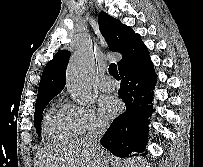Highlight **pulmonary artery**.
Returning a JSON list of instances; mask_svg holds the SVG:
<instances>
[{"label":"pulmonary artery","instance_id":"e3ab8cb5","mask_svg":"<svg viewBox=\"0 0 203 167\" xmlns=\"http://www.w3.org/2000/svg\"><path fill=\"white\" fill-rule=\"evenodd\" d=\"M98 86L103 91H111L116 88V82L110 76H105L99 80Z\"/></svg>","mask_w":203,"mask_h":167}]
</instances>
